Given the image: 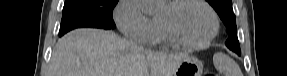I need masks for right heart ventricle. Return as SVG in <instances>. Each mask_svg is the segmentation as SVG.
Segmentation results:
<instances>
[{"mask_svg": "<svg viewBox=\"0 0 287 76\" xmlns=\"http://www.w3.org/2000/svg\"><path fill=\"white\" fill-rule=\"evenodd\" d=\"M152 22L154 26V33L149 43L155 44V45H163V46L171 45L172 42L169 39L165 31L163 21H162V16H154L152 18Z\"/></svg>", "mask_w": 287, "mask_h": 76, "instance_id": "1", "label": "right heart ventricle"}]
</instances>
